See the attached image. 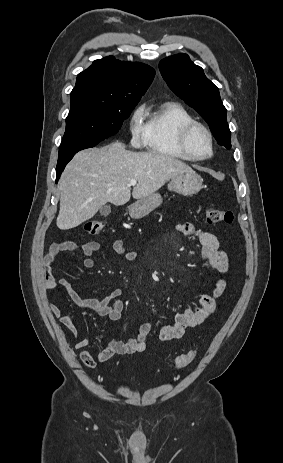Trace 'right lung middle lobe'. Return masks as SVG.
Masks as SVG:
<instances>
[{
  "label": "right lung middle lobe",
  "mask_w": 283,
  "mask_h": 463,
  "mask_svg": "<svg viewBox=\"0 0 283 463\" xmlns=\"http://www.w3.org/2000/svg\"><path fill=\"white\" fill-rule=\"evenodd\" d=\"M71 109L59 150L100 142L116 134L138 101L70 94Z\"/></svg>",
  "instance_id": "obj_1"
}]
</instances>
